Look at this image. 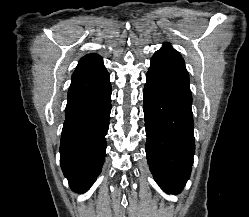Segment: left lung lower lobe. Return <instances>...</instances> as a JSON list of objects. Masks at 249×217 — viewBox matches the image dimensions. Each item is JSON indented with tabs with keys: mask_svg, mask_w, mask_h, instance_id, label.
<instances>
[{
	"mask_svg": "<svg viewBox=\"0 0 249 217\" xmlns=\"http://www.w3.org/2000/svg\"><path fill=\"white\" fill-rule=\"evenodd\" d=\"M192 95L185 65L152 57L144 87L146 155L166 193H179L189 179L195 152Z\"/></svg>",
	"mask_w": 249,
	"mask_h": 217,
	"instance_id": "left-lung-lower-lobe-1",
	"label": "left lung lower lobe"
}]
</instances>
